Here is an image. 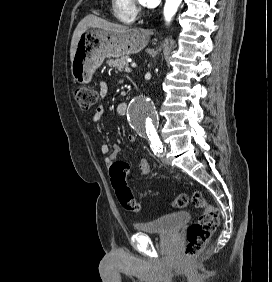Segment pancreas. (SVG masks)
Segmentation results:
<instances>
[{
	"label": "pancreas",
	"instance_id": "cf45deb5",
	"mask_svg": "<svg viewBox=\"0 0 272 282\" xmlns=\"http://www.w3.org/2000/svg\"><path fill=\"white\" fill-rule=\"evenodd\" d=\"M128 57L123 56L119 59L113 60L110 59L107 61V64L111 67L114 68L117 72H130L129 64L127 62Z\"/></svg>",
	"mask_w": 272,
	"mask_h": 282
}]
</instances>
